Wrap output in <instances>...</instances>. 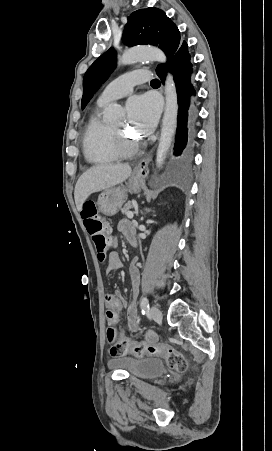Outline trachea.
Wrapping results in <instances>:
<instances>
[{
	"label": "trachea",
	"mask_w": 272,
	"mask_h": 451,
	"mask_svg": "<svg viewBox=\"0 0 272 451\" xmlns=\"http://www.w3.org/2000/svg\"><path fill=\"white\" fill-rule=\"evenodd\" d=\"M151 84H160V82H159V80L154 79V80L151 81Z\"/></svg>",
	"instance_id": "obj_1"
}]
</instances>
